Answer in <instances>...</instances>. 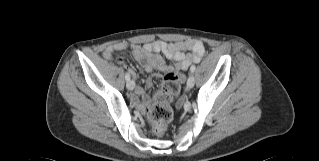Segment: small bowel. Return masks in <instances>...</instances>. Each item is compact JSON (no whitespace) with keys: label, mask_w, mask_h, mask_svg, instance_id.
Masks as SVG:
<instances>
[{"label":"small bowel","mask_w":319,"mask_h":161,"mask_svg":"<svg viewBox=\"0 0 319 161\" xmlns=\"http://www.w3.org/2000/svg\"><path fill=\"white\" fill-rule=\"evenodd\" d=\"M127 47L126 43H116L106 47L104 54L106 57H112L115 52L124 50ZM131 48L135 60L146 72L154 70L165 72L169 70L165 57L174 63L178 71L183 73L192 64L199 62L205 53L204 44L198 40L177 42L154 40L143 45H132ZM131 73L134 75L133 71ZM140 100L142 106L147 105L150 101L148 96L145 95L143 88L137 85L132 102L133 104H138ZM175 104H180L178 95L176 96Z\"/></svg>","instance_id":"obj_1"}]
</instances>
